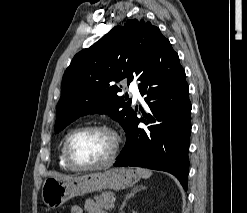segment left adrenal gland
Here are the masks:
<instances>
[{"label": "left adrenal gland", "mask_w": 247, "mask_h": 213, "mask_svg": "<svg viewBox=\"0 0 247 213\" xmlns=\"http://www.w3.org/2000/svg\"><path fill=\"white\" fill-rule=\"evenodd\" d=\"M146 187L145 186H135L132 190H131V192L130 193H128L126 196H125V198H124V200H123V202H122V205L120 206V210H122L125 206H126V204H127V200L128 199H130L132 196H134V194H136L137 192H139V191H141V190H143V189H145Z\"/></svg>", "instance_id": "obj_1"}]
</instances>
